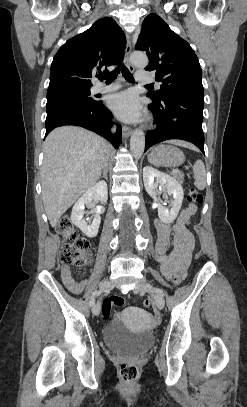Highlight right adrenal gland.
<instances>
[{
	"label": "right adrenal gland",
	"mask_w": 247,
	"mask_h": 407,
	"mask_svg": "<svg viewBox=\"0 0 247 407\" xmlns=\"http://www.w3.org/2000/svg\"><path fill=\"white\" fill-rule=\"evenodd\" d=\"M107 173H108V169H105L103 171V175H102V177L105 178L106 180H108Z\"/></svg>",
	"instance_id": "right-adrenal-gland-1"
}]
</instances>
